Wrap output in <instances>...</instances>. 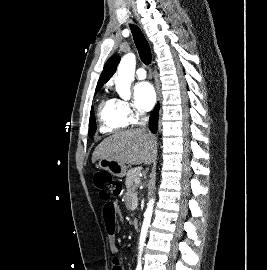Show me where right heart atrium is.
Listing matches in <instances>:
<instances>
[{
  "mask_svg": "<svg viewBox=\"0 0 267 270\" xmlns=\"http://www.w3.org/2000/svg\"><path fill=\"white\" fill-rule=\"evenodd\" d=\"M113 101L115 102L117 106L120 116L127 123L134 124V123H137L141 119L142 117L141 113L136 111L129 101L125 99H120V98H115L113 99Z\"/></svg>",
  "mask_w": 267,
  "mask_h": 270,
  "instance_id": "obj_1",
  "label": "right heart atrium"
}]
</instances>
